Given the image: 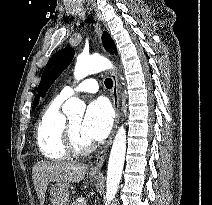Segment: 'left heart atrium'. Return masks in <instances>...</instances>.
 <instances>
[{
	"label": "left heart atrium",
	"mask_w": 212,
	"mask_h": 205,
	"mask_svg": "<svg viewBox=\"0 0 212 205\" xmlns=\"http://www.w3.org/2000/svg\"><path fill=\"white\" fill-rule=\"evenodd\" d=\"M113 123V112L107 101L98 99L87 108L82 120V134L91 141H100L110 132Z\"/></svg>",
	"instance_id": "obj_1"
}]
</instances>
